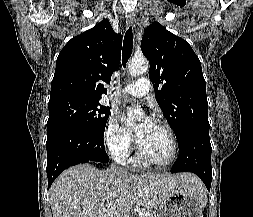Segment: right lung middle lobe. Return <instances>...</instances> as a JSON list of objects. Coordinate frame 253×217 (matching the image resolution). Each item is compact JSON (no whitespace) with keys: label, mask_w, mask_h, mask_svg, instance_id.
Segmentation results:
<instances>
[{"label":"right lung middle lobe","mask_w":253,"mask_h":217,"mask_svg":"<svg viewBox=\"0 0 253 217\" xmlns=\"http://www.w3.org/2000/svg\"><path fill=\"white\" fill-rule=\"evenodd\" d=\"M47 131L62 126L83 127L96 134H104L109 107L99 99L65 98L49 103Z\"/></svg>","instance_id":"right-lung-middle-lobe-1"}]
</instances>
